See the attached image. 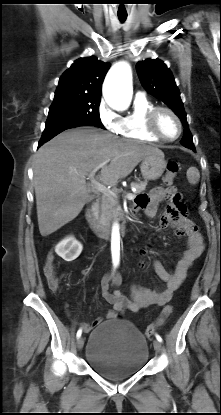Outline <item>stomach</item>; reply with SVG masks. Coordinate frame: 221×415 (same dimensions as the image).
<instances>
[{
  "label": "stomach",
  "mask_w": 221,
  "mask_h": 415,
  "mask_svg": "<svg viewBox=\"0 0 221 415\" xmlns=\"http://www.w3.org/2000/svg\"><path fill=\"white\" fill-rule=\"evenodd\" d=\"M166 168L163 153H154L145 157L140 165L141 174L146 180L159 179Z\"/></svg>",
  "instance_id": "1"
}]
</instances>
